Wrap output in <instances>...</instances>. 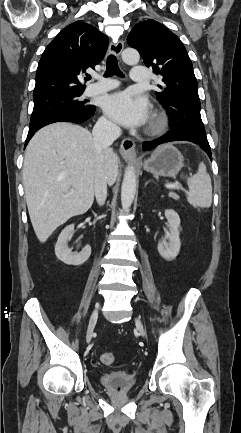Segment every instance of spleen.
Wrapping results in <instances>:
<instances>
[{
    "mask_svg": "<svg viewBox=\"0 0 241 433\" xmlns=\"http://www.w3.org/2000/svg\"><path fill=\"white\" fill-rule=\"evenodd\" d=\"M189 191L187 192V201L192 206L209 208L212 203V185L210 175L206 171L204 163H200L198 172L190 178H187Z\"/></svg>",
    "mask_w": 241,
    "mask_h": 433,
    "instance_id": "3e777b00",
    "label": "spleen"
}]
</instances>
